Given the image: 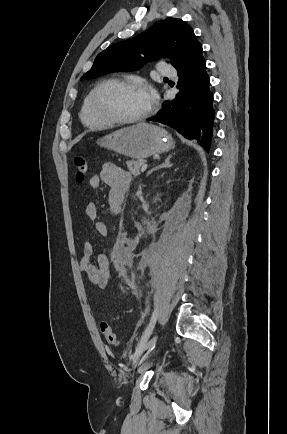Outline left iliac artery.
Returning a JSON list of instances; mask_svg holds the SVG:
<instances>
[{"instance_id":"obj_1","label":"left iliac artery","mask_w":287,"mask_h":434,"mask_svg":"<svg viewBox=\"0 0 287 434\" xmlns=\"http://www.w3.org/2000/svg\"><path fill=\"white\" fill-rule=\"evenodd\" d=\"M156 320H157V312H156V310H154L152 318L150 320V323H149L147 329L145 330V332H144V334H143L140 342L138 343V346L136 348L135 354L133 356V360L141 352V350H142L143 346L145 345L146 341L149 339V337H150V335H151V333H152V331L154 329V326L156 324ZM134 361H136V360H134Z\"/></svg>"}]
</instances>
